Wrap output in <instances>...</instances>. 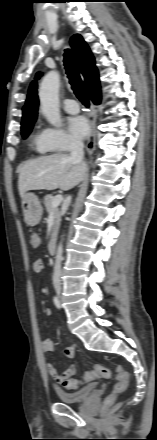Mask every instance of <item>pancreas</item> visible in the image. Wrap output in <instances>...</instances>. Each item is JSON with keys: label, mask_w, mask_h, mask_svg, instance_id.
Here are the masks:
<instances>
[{"label": "pancreas", "mask_w": 157, "mask_h": 440, "mask_svg": "<svg viewBox=\"0 0 157 440\" xmlns=\"http://www.w3.org/2000/svg\"><path fill=\"white\" fill-rule=\"evenodd\" d=\"M54 199V196L52 195H46L44 197V205L46 207V211L48 213H52L54 217V223H53V229L51 234V239L54 240L57 236L59 225H60V211L59 209L52 207V201Z\"/></svg>", "instance_id": "obj_1"}]
</instances>
